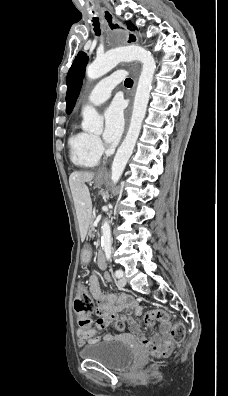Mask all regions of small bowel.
<instances>
[{"instance_id": "1", "label": "small bowel", "mask_w": 228, "mask_h": 396, "mask_svg": "<svg viewBox=\"0 0 228 396\" xmlns=\"http://www.w3.org/2000/svg\"><path fill=\"white\" fill-rule=\"evenodd\" d=\"M90 261V253L85 252L82 256V262L87 264ZM104 280L107 283L112 281L111 276L108 273L104 274ZM89 292L92 297L97 301V307L95 314L99 316L97 325L95 328L87 327L84 329H78V345L83 347L86 343H97L100 341L111 340V339H130L135 338L144 344L146 349L155 354L158 357L167 356L173 349V343L166 337V331H163V336L155 334L151 339H147L140 330L137 322L129 315H118L119 310L125 309L130 313L140 315L143 311L142 307L128 295L115 293L102 294L99 279L95 273H91L89 277ZM119 319L124 325H126L130 333L129 334H104L99 335V332L114 321Z\"/></svg>"}]
</instances>
